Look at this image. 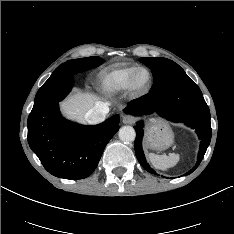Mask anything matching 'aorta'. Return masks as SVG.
<instances>
[{
  "label": "aorta",
  "instance_id": "1",
  "mask_svg": "<svg viewBox=\"0 0 234 234\" xmlns=\"http://www.w3.org/2000/svg\"><path fill=\"white\" fill-rule=\"evenodd\" d=\"M119 139L123 142H132L135 140L136 132L131 126H123L119 130Z\"/></svg>",
  "mask_w": 234,
  "mask_h": 234
}]
</instances>
